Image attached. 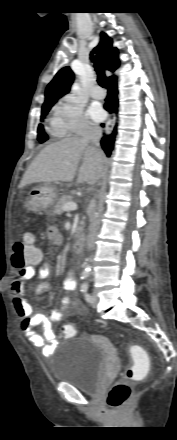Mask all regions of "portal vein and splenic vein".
<instances>
[{
    "label": "portal vein and splenic vein",
    "mask_w": 177,
    "mask_h": 440,
    "mask_svg": "<svg viewBox=\"0 0 177 440\" xmlns=\"http://www.w3.org/2000/svg\"><path fill=\"white\" fill-rule=\"evenodd\" d=\"M62 210L64 212H68V211H75L77 210V204L75 202H69L66 203L63 207Z\"/></svg>",
    "instance_id": "portal-vein-and-splenic-vein-1"
}]
</instances>
